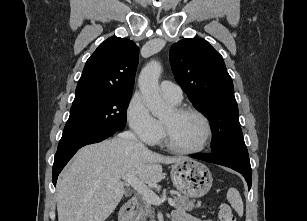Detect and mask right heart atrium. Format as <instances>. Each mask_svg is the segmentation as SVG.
Here are the masks:
<instances>
[{
    "label": "right heart atrium",
    "instance_id": "d8ad5b80",
    "mask_svg": "<svg viewBox=\"0 0 307 221\" xmlns=\"http://www.w3.org/2000/svg\"><path fill=\"white\" fill-rule=\"evenodd\" d=\"M126 118L131 130L144 143L154 145L161 139V124L153 117L139 93L131 97L126 109Z\"/></svg>",
    "mask_w": 307,
    "mask_h": 221
}]
</instances>
